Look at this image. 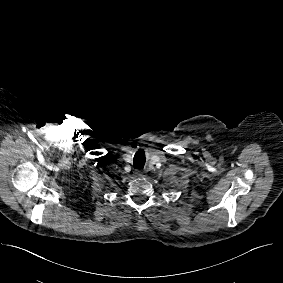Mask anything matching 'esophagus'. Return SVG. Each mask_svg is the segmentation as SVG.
Wrapping results in <instances>:
<instances>
[{"label": "esophagus", "instance_id": "1", "mask_svg": "<svg viewBox=\"0 0 283 283\" xmlns=\"http://www.w3.org/2000/svg\"><path fill=\"white\" fill-rule=\"evenodd\" d=\"M143 174H144V173H143L141 170H136V171H135V176L138 177V178L143 177V176H144Z\"/></svg>", "mask_w": 283, "mask_h": 283}]
</instances>
